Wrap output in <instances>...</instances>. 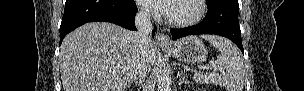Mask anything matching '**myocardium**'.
Wrapping results in <instances>:
<instances>
[{
  "label": "myocardium",
  "mask_w": 304,
  "mask_h": 91,
  "mask_svg": "<svg viewBox=\"0 0 304 91\" xmlns=\"http://www.w3.org/2000/svg\"><path fill=\"white\" fill-rule=\"evenodd\" d=\"M197 5L196 14L187 19H172L171 17L166 15L169 24L176 27H188L199 23L206 14V1L205 0H194Z\"/></svg>",
  "instance_id": "myocardium-1"
}]
</instances>
